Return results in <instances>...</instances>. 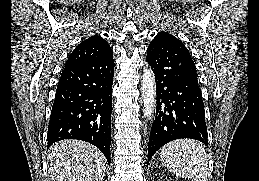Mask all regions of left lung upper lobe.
<instances>
[{"instance_id": "1", "label": "left lung upper lobe", "mask_w": 259, "mask_h": 181, "mask_svg": "<svg viewBox=\"0 0 259 181\" xmlns=\"http://www.w3.org/2000/svg\"><path fill=\"white\" fill-rule=\"evenodd\" d=\"M167 36H173L171 34H169L168 32H164V31H161L157 34V36L153 39V40H156L158 39L159 37H167ZM152 40V41H153ZM185 63L187 64V67H188V71L190 73V75L196 79H197V72H196V67H195V64L190 56V53L189 51L187 50V56H186V60H185Z\"/></svg>"}]
</instances>
